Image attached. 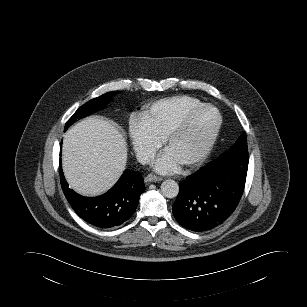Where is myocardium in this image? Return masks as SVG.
<instances>
[{"instance_id":"myocardium-1","label":"myocardium","mask_w":307,"mask_h":307,"mask_svg":"<svg viewBox=\"0 0 307 307\" xmlns=\"http://www.w3.org/2000/svg\"><path fill=\"white\" fill-rule=\"evenodd\" d=\"M201 109H210L212 110L217 117V121L216 124L212 130V132L210 133V135L207 137V139L205 140L204 144L201 146V148L192 156L190 157L188 160L184 161L182 164V166L185 167H191L194 166L200 162H202L210 153V151L212 150L221 126H222V116L221 113L219 112V110L208 103H199L191 108H189L188 110H186L182 116L179 118V120L176 122V124L171 128V130L166 134V136L163 139V146L165 148V150H167L169 144L176 139L178 136H180L182 134V132L184 131L189 119L192 117V115L194 113H196L197 111L201 110Z\"/></svg>"}]
</instances>
